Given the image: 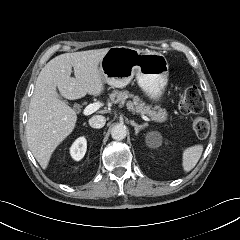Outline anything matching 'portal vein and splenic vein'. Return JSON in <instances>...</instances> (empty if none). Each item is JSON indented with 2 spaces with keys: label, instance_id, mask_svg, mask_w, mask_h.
<instances>
[{
  "label": "portal vein and splenic vein",
  "instance_id": "obj_1",
  "mask_svg": "<svg viewBox=\"0 0 240 240\" xmlns=\"http://www.w3.org/2000/svg\"><path fill=\"white\" fill-rule=\"evenodd\" d=\"M102 106V104L100 102H95L93 104H89L84 110H83V114L85 116H88L92 113H94L95 111H97L100 107ZM143 120L150 122L151 119H149L147 116L142 115L141 116Z\"/></svg>",
  "mask_w": 240,
  "mask_h": 240
}]
</instances>
